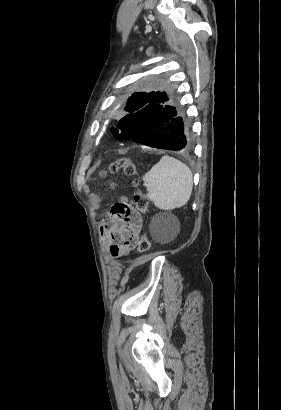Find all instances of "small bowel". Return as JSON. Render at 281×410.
<instances>
[{"mask_svg":"<svg viewBox=\"0 0 281 410\" xmlns=\"http://www.w3.org/2000/svg\"><path fill=\"white\" fill-rule=\"evenodd\" d=\"M142 227V217L133 213L128 217L111 214L103 220L100 228L102 242L112 258L128 255L134 248Z\"/></svg>","mask_w":281,"mask_h":410,"instance_id":"c3829d8e","label":"small bowel"}]
</instances>
